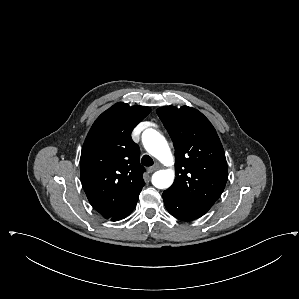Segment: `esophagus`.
<instances>
[{"label":"esophagus","instance_id":"34e87169","mask_svg":"<svg viewBox=\"0 0 299 299\" xmlns=\"http://www.w3.org/2000/svg\"><path fill=\"white\" fill-rule=\"evenodd\" d=\"M160 168V164L156 163L154 166L148 168L149 173H153L154 171L158 170Z\"/></svg>","mask_w":299,"mask_h":299}]
</instances>
